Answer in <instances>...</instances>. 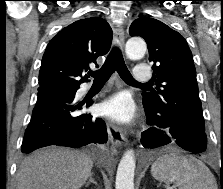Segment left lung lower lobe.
<instances>
[{
    "label": "left lung lower lobe",
    "instance_id": "obj_1",
    "mask_svg": "<svg viewBox=\"0 0 223 189\" xmlns=\"http://www.w3.org/2000/svg\"><path fill=\"white\" fill-rule=\"evenodd\" d=\"M147 124L152 127L142 132L141 144L147 149H154L169 143H176L181 148L192 153H202L207 148L205 131L186 127L170 126L163 116L145 107Z\"/></svg>",
    "mask_w": 223,
    "mask_h": 189
}]
</instances>
